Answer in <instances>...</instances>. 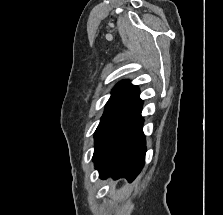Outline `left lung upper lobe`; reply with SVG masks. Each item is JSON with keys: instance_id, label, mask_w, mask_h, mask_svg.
<instances>
[{"instance_id": "left-lung-upper-lobe-1", "label": "left lung upper lobe", "mask_w": 223, "mask_h": 215, "mask_svg": "<svg viewBox=\"0 0 223 215\" xmlns=\"http://www.w3.org/2000/svg\"><path fill=\"white\" fill-rule=\"evenodd\" d=\"M139 89L128 81L116 85L108 100L104 114L95 131L94 155L99 150L110 131L122 120L139 102ZM93 155V156H94Z\"/></svg>"}]
</instances>
